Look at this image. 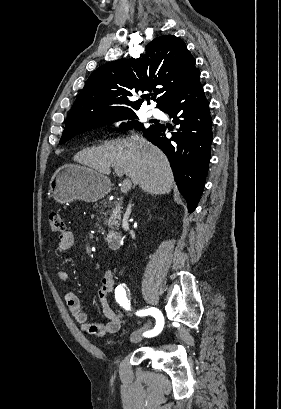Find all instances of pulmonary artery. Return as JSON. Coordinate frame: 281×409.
I'll return each mask as SVG.
<instances>
[{"instance_id":"obj_1","label":"pulmonary artery","mask_w":281,"mask_h":409,"mask_svg":"<svg viewBox=\"0 0 281 409\" xmlns=\"http://www.w3.org/2000/svg\"><path fill=\"white\" fill-rule=\"evenodd\" d=\"M149 114H150L151 116H153L154 118H157V119L163 117V113H162L160 110L155 109V108H153V107H151V108L149 109Z\"/></svg>"}]
</instances>
